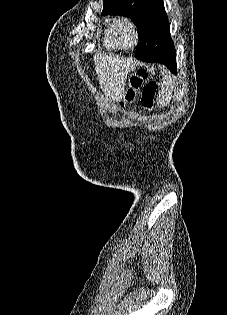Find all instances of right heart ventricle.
Returning a JSON list of instances; mask_svg holds the SVG:
<instances>
[{
	"label": "right heart ventricle",
	"instance_id": "right-heart-ventricle-1",
	"mask_svg": "<svg viewBox=\"0 0 227 315\" xmlns=\"http://www.w3.org/2000/svg\"><path fill=\"white\" fill-rule=\"evenodd\" d=\"M117 23L118 19L116 18H110L105 21L104 44L109 49H117L120 47L116 36Z\"/></svg>",
	"mask_w": 227,
	"mask_h": 315
}]
</instances>
